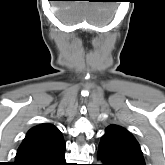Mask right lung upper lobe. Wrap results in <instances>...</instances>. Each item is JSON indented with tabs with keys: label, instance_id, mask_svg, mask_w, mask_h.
<instances>
[{
	"label": "right lung upper lobe",
	"instance_id": "1",
	"mask_svg": "<svg viewBox=\"0 0 165 165\" xmlns=\"http://www.w3.org/2000/svg\"><path fill=\"white\" fill-rule=\"evenodd\" d=\"M62 137L56 126L44 123L33 127L27 133L24 141L20 145L14 165H22L31 158L43 152V147L50 142Z\"/></svg>",
	"mask_w": 165,
	"mask_h": 165
}]
</instances>
